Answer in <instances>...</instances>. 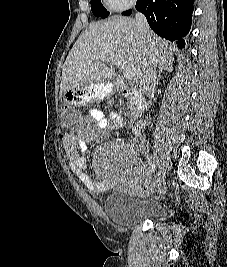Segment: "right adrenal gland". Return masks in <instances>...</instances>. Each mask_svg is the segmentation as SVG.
Wrapping results in <instances>:
<instances>
[{
	"label": "right adrenal gland",
	"mask_w": 227,
	"mask_h": 267,
	"mask_svg": "<svg viewBox=\"0 0 227 267\" xmlns=\"http://www.w3.org/2000/svg\"><path fill=\"white\" fill-rule=\"evenodd\" d=\"M172 70H173L172 65H166V66L160 67L158 71L157 81H156L157 84L159 83L162 73L171 72Z\"/></svg>",
	"instance_id": "2a0ac1e0"
}]
</instances>
